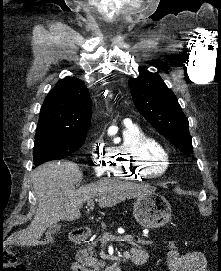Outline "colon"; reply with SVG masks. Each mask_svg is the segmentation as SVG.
<instances>
[{
  "label": "colon",
  "instance_id": "obj_1",
  "mask_svg": "<svg viewBox=\"0 0 221 271\" xmlns=\"http://www.w3.org/2000/svg\"><path fill=\"white\" fill-rule=\"evenodd\" d=\"M0 271H28V268L16 252L11 250L0 260Z\"/></svg>",
  "mask_w": 221,
  "mask_h": 271
}]
</instances>
